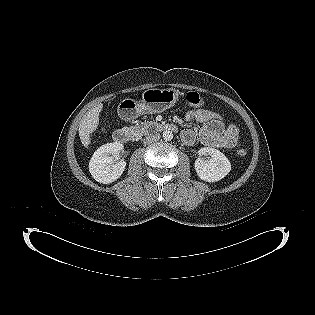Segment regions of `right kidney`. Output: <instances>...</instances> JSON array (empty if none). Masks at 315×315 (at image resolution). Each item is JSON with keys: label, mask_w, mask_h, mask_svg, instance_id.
Instances as JSON below:
<instances>
[{"label": "right kidney", "mask_w": 315, "mask_h": 315, "mask_svg": "<svg viewBox=\"0 0 315 315\" xmlns=\"http://www.w3.org/2000/svg\"><path fill=\"white\" fill-rule=\"evenodd\" d=\"M123 147L122 144L117 142L107 143L94 152L89 163V171L97 182L109 184L122 175L126 162H116V156Z\"/></svg>", "instance_id": "obj_1"}]
</instances>
